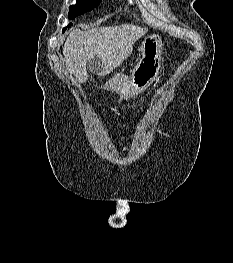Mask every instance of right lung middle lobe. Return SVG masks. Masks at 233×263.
<instances>
[{
    "label": "right lung middle lobe",
    "mask_w": 233,
    "mask_h": 263,
    "mask_svg": "<svg viewBox=\"0 0 233 263\" xmlns=\"http://www.w3.org/2000/svg\"><path fill=\"white\" fill-rule=\"evenodd\" d=\"M77 3L69 8L68 16L70 19H74L76 16L83 14L87 11H90L97 7L101 0H76ZM72 24L70 23L68 27H70ZM67 27H65L63 30L65 31Z\"/></svg>",
    "instance_id": "right-lung-middle-lobe-1"
}]
</instances>
